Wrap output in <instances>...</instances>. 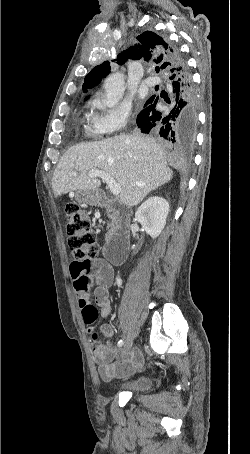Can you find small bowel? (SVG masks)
<instances>
[{
    "instance_id": "small-bowel-1",
    "label": "small bowel",
    "mask_w": 250,
    "mask_h": 454,
    "mask_svg": "<svg viewBox=\"0 0 250 454\" xmlns=\"http://www.w3.org/2000/svg\"><path fill=\"white\" fill-rule=\"evenodd\" d=\"M69 274L81 308L92 304L90 287L96 284L93 302L99 308V315L106 318L111 311L109 289L114 281L112 266L102 259L74 260L70 263ZM88 331L92 333L93 328L89 327ZM100 331L108 340L113 337L114 328L110 324H103ZM92 344L98 374L104 381L128 376L134 373L143 362V356L139 350L120 351L110 343L103 344L98 340H92Z\"/></svg>"
}]
</instances>
